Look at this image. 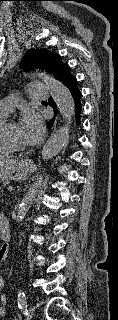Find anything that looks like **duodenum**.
<instances>
[{
    "label": "duodenum",
    "instance_id": "1",
    "mask_svg": "<svg viewBox=\"0 0 118 320\" xmlns=\"http://www.w3.org/2000/svg\"><path fill=\"white\" fill-rule=\"evenodd\" d=\"M10 236L9 220L6 216L0 215V237L8 241Z\"/></svg>",
    "mask_w": 118,
    "mask_h": 320
}]
</instances>
